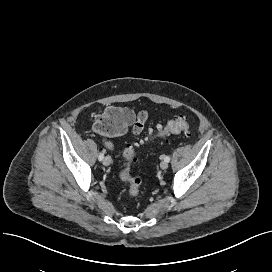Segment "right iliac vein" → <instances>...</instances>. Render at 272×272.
Instances as JSON below:
<instances>
[{"label":"right iliac vein","mask_w":272,"mask_h":272,"mask_svg":"<svg viewBox=\"0 0 272 272\" xmlns=\"http://www.w3.org/2000/svg\"><path fill=\"white\" fill-rule=\"evenodd\" d=\"M111 157L110 156H106L105 158H104V160H103V164L105 165V166H108V165H110V163H111Z\"/></svg>","instance_id":"63e3f726"}]
</instances>
